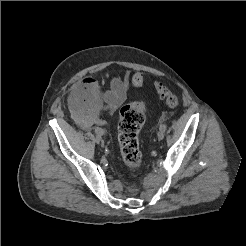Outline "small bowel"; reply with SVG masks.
Segmentation results:
<instances>
[{
  "mask_svg": "<svg viewBox=\"0 0 246 246\" xmlns=\"http://www.w3.org/2000/svg\"><path fill=\"white\" fill-rule=\"evenodd\" d=\"M129 77H115L110 89L105 90L92 76L75 84L69 95V107L75 122L82 128L93 125L104 126L103 112L114 113L127 99Z\"/></svg>",
  "mask_w": 246,
  "mask_h": 246,
  "instance_id": "small-bowel-1",
  "label": "small bowel"
}]
</instances>
